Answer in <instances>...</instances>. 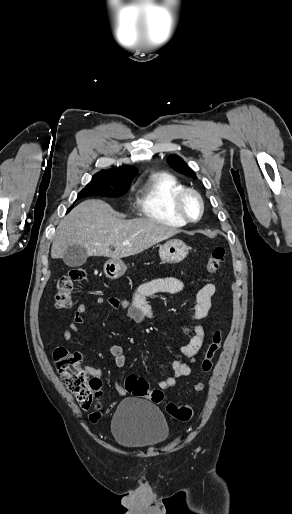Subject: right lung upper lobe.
<instances>
[{"label":"right lung upper lobe","instance_id":"1","mask_svg":"<svg viewBox=\"0 0 292 514\" xmlns=\"http://www.w3.org/2000/svg\"><path fill=\"white\" fill-rule=\"evenodd\" d=\"M138 170L134 167H118L110 170H101L93 178L114 179V180H133Z\"/></svg>","mask_w":292,"mask_h":514}]
</instances>
